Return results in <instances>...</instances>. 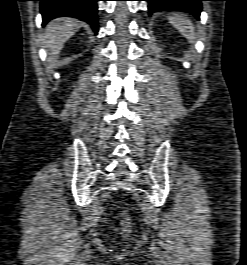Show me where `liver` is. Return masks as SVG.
<instances>
[{
    "label": "liver",
    "instance_id": "6515ba94",
    "mask_svg": "<svg viewBox=\"0 0 247 265\" xmlns=\"http://www.w3.org/2000/svg\"><path fill=\"white\" fill-rule=\"evenodd\" d=\"M80 26V21L68 17L56 18L47 24L44 45L52 57L60 53L66 41L78 31Z\"/></svg>",
    "mask_w": 247,
    "mask_h": 265
}]
</instances>
